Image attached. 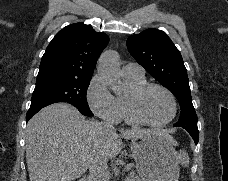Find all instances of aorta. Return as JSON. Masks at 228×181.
I'll list each match as a JSON object with an SVG mask.
<instances>
[{"label": "aorta", "mask_w": 228, "mask_h": 181, "mask_svg": "<svg viewBox=\"0 0 228 181\" xmlns=\"http://www.w3.org/2000/svg\"><path fill=\"white\" fill-rule=\"evenodd\" d=\"M97 71L106 85L115 93L122 89L120 80L119 56L113 50L103 52L98 61Z\"/></svg>", "instance_id": "obj_1"}]
</instances>
